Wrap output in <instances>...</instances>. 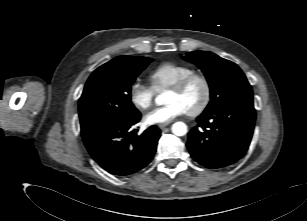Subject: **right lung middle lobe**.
<instances>
[{"mask_svg": "<svg viewBox=\"0 0 307 221\" xmlns=\"http://www.w3.org/2000/svg\"><path fill=\"white\" fill-rule=\"evenodd\" d=\"M152 59L136 57L108 62L89 77L79 99L82 137L110 123L133 119L140 112L131 102V85Z\"/></svg>", "mask_w": 307, "mask_h": 221, "instance_id": "dd1d6c3e", "label": "right lung middle lobe"}]
</instances>
